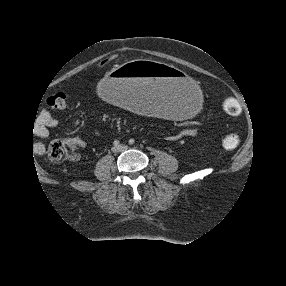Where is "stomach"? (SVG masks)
<instances>
[{"instance_id": "0dacf381", "label": "stomach", "mask_w": 286, "mask_h": 286, "mask_svg": "<svg viewBox=\"0 0 286 286\" xmlns=\"http://www.w3.org/2000/svg\"><path fill=\"white\" fill-rule=\"evenodd\" d=\"M94 90L103 102L120 103L130 111L168 122L191 119L203 102L202 87L194 76L144 59L126 62L101 76Z\"/></svg>"}]
</instances>
